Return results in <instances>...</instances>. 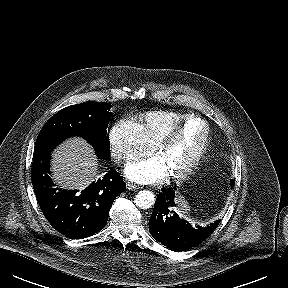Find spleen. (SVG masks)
<instances>
[{
    "label": "spleen",
    "instance_id": "1",
    "mask_svg": "<svg viewBox=\"0 0 288 288\" xmlns=\"http://www.w3.org/2000/svg\"><path fill=\"white\" fill-rule=\"evenodd\" d=\"M177 203L179 205V212L182 214H188L189 213V206L187 201L182 196H179L177 198Z\"/></svg>",
    "mask_w": 288,
    "mask_h": 288
}]
</instances>
